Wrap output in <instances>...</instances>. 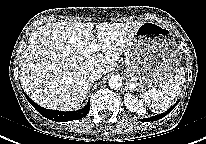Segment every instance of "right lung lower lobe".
<instances>
[{
  "label": "right lung lower lobe",
  "instance_id": "right-lung-lower-lobe-1",
  "mask_svg": "<svg viewBox=\"0 0 206 144\" xmlns=\"http://www.w3.org/2000/svg\"><path fill=\"white\" fill-rule=\"evenodd\" d=\"M27 100L31 103V105L45 118H48L50 120L56 121V122H65V121H72L77 120L85 117L89 110H90V100L88 103L82 108L77 111H70V112H63V111H57V110H50L45 109L39 105H37L35 102H33L26 94H25Z\"/></svg>",
  "mask_w": 206,
  "mask_h": 144
}]
</instances>
